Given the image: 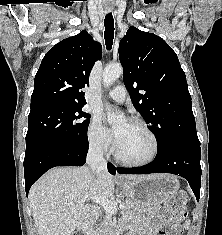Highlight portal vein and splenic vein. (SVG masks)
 <instances>
[{
  "instance_id": "portal-vein-and-splenic-vein-1",
  "label": "portal vein and splenic vein",
  "mask_w": 222,
  "mask_h": 235,
  "mask_svg": "<svg viewBox=\"0 0 222 235\" xmlns=\"http://www.w3.org/2000/svg\"><path fill=\"white\" fill-rule=\"evenodd\" d=\"M92 199L96 203L100 204L105 209V211L109 214H115L118 209L123 210L125 208L124 204H120L118 208V206L114 202L106 198H103L101 196H94Z\"/></svg>"
}]
</instances>
